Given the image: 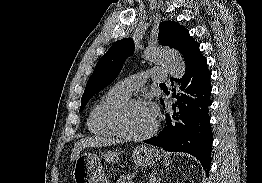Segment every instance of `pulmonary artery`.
I'll list each match as a JSON object with an SVG mask.
<instances>
[{
    "mask_svg": "<svg viewBox=\"0 0 262 183\" xmlns=\"http://www.w3.org/2000/svg\"><path fill=\"white\" fill-rule=\"evenodd\" d=\"M149 74L153 82L168 81V78L165 75L159 73L156 69L150 70ZM145 80L146 78L142 74L133 75L117 82L112 89L125 97H129L135 89L144 85Z\"/></svg>",
    "mask_w": 262,
    "mask_h": 183,
    "instance_id": "obj_1",
    "label": "pulmonary artery"
}]
</instances>
